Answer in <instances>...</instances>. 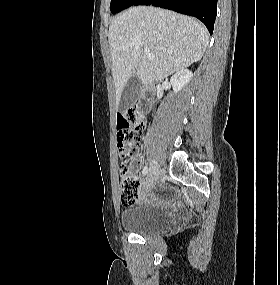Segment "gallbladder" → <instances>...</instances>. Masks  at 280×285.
I'll use <instances>...</instances> for the list:
<instances>
[{
	"instance_id": "bac80fb5",
	"label": "gallbladder",
	"mask_w": 280,
	"mask_h": 285,
	"mask_svg": "<svg viewBox=\"0 0 280 285\" xmlns=\"http://www.w3.org/2000/svg\"><path fill=\"white\" fill-rule=\"evenodd\" d=\"M141 86V81L136 76L129 78L121 93L119 102L120 112H124L137 101Z\"/></svg>"
}]
</instances>
